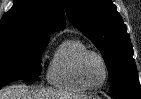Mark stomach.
<instances>
[{"label": "stomach", "mask_w": 141, "mask_h": 99, "mask_svg": "<svg viewBox=\"0 0 141 99\" xmlns=\"http://www.w3.org/2000/svg\"><path fill=\"white\" fill-rule=\"evenodd\" d=\"M82 99H96L94 97H86V98H82Z\"/></svg>", "instance_id": "obj_1"}]
</instances>
